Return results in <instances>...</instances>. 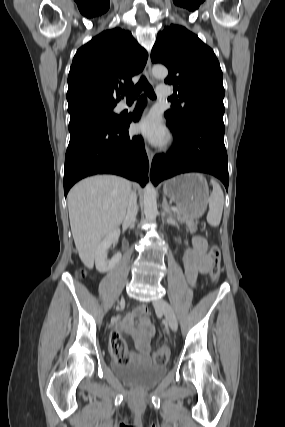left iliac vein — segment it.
Listing matches in <instances>:
<instances>
[{
    "instance_id": "left-iliac-vein-1",
    "label": "left iliac vein",
    "mask_w": 285,
    "mask_h": 427,
    "mask_svg": "<svg viewBox=\"0 0 285 427\" xmlns=\"http://www.w3.org/2000/svg\"><path fill=\"white\" fill-rule=\"evenodd\" d=\"M154 307L156 310H159L164 314L170 328L173 331H176L178 328V322H177L175 312L171 307V305L164 299H158L154 301Z\"/></svg>"
}]
</instances>
